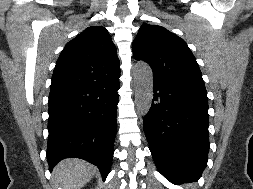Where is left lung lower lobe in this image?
I'll list each match as a JSON object with an SVG mask.
<instances>
[{
    "label": "left lung lower lobe",
    "mask_w": 253,
    "mask_h": 189,
    "mask_svg": "<svg viewBox=\"0 0 253 189\" xmlns=\"http://www.w3.org/2000/svg\"><path fill=\"white\" fill-rule=\"evenodd\" d=\"M143 128L159 172L173 183L197 181L209 151L208 98L156 83Z\"/></svg>",
    "instance_id": "0a47b994"
}]
</instances>
